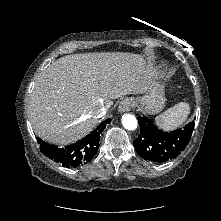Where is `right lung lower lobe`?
<instances>
[{
  "mask_svg": "<svg viewBox=\"0 0 221 221\" xmlns=\"http://www.w3.org/2000/svg\"><path fill=\"white\" fill-rule=\"evenodd\" d=\"M111 119L101 122L98 127L80 141L58 148L37 138L41 152L50 159L61 163L63 167H79L91 161L99 147L100 134Z\"/></svg>",
  "mask_w": 221,
  "mask_h": 221,
  "instance_id": "98d812e1",
  "label": "right lung lower lobe"
}]
</instances>
